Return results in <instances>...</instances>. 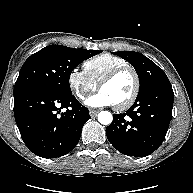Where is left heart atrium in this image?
<instances>
[{
    "label": "left heart atrium",
    "instance_id": "39dd6f15",
    "mask_svg": "<svg viewBox=\"0 0 193 193\" xmlns=\"http://www.w3.org/2000/svg\"><path fill=\"white\" fill-rule=\"evenodd\" d=\"M85 104L90 107H105L115 105L113 100L103 91L88 97Z\"/></svg>",
    "mask_w": 193,
    "mask_h": 193
}]
</instances>
